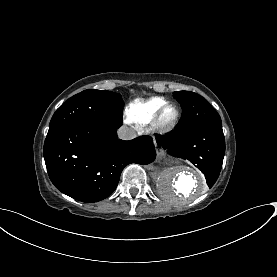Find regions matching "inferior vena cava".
Listing matches in <instances>:
<instances>
[{
	"label": "inferior vena cava",
	"mask_w": 277,
	"mask_h": 277,
	"mask_svg": "<svg viewBox=\"0 0 277 277\" xmlns=\"http://www.w3.org/2000/svg\"><path fill=\"white\" fill-rule=\"evenodd\" d=\"M118 137L122 140H131L137 137L136 132L133 128L127 126H121L118 131Z\"/></svg>",
	"instance_id": "obj_1"
}]
</instances>
